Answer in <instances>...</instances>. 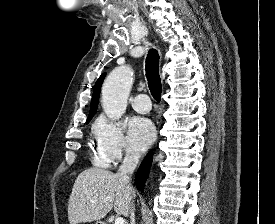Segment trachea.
Wrapping results in <instances>:
<instances>
[{
    "label": "trachea",
    "instance_id": "obj_1",
    "mask_svg": "<svg viewBox=\"0 0 275 224\" xmlns=\"http://www.w3.org/2000/svg\"><path fill=\"white\" fill-rule=\"evenodd\" d=\"M146 77L153 98L161 100L162 84L159 75V54L155 49H150L146 58Z\"/></svg>",
    "mask_w": 275,
    "mask_h": 224
}]
</instances>
